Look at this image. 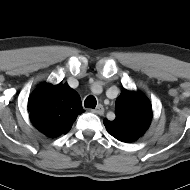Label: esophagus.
Wrapping results in <instances>:
<instances>
[{"mask_svg":"<svg viewBox=\"0 0 190 190\" xmlns=\"http://www.w3.org/2000/svg\"><path fill=\"white\" fill-rule=\"evenodd\" d=\"M91 112L98 114V115H103L104 114V107L101 104H98L95 109H91Z\"/></svg>","mask_w":190,"mask_h":190,"instance_id":"34e87169","label":"esophagus"}]
</instances>
